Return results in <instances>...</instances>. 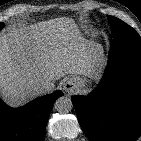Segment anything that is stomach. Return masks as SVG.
Instances as JSON below:
<instances>
[{
    "label": "stomach",
    "mask_w": 141,
    "mask_h": 141,
    "mask_svg": "<svg viewBox=\"0 0 141 141\" xmlns=\"http://www.w3.org/2000/svg\"><path fill=\"white\" fill-rule=\"evenodd\" d=\"M91 47L94 49V50H97V43H95V42H92L91 43ZM84 81H82V83H83Z\"/></svg>",
    "instance_id": "stomach-1"
}]
</instances>
